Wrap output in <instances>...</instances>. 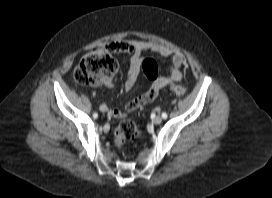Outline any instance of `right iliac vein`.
<instances>
[{"mask_svg":"<svg viewBox=\"0 0 272 198\" xmlns=\"http://www.w3.org/2000/svg\"><path fill=\"white\" fill-rule=\"evenodd\" d=\"M100 110H101L102 112H107L108 108H107L106 105H101V106H100Z\"/></svg>","mask_w":272,"mask_h":198,"instance_id":"right-iliac-vein-1","label":"right iliac vein"}]
</instances>
